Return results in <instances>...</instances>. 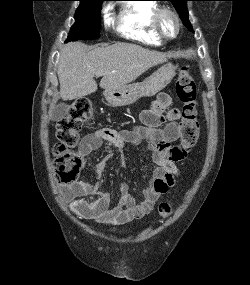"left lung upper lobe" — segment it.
<instances>
[{"mask_svg":"<svg viewBox=\"0 0 250 285\" xmlns=\"http://www.w3.org/2000/svg\"><path fill=\"white\" fill-rule=\"evenodd\" d=\"M171 1L175 9L180 15L181 20L183 21L184 25L190 30H192L191 23L189 21V14L187 11V1L189 0H168Z\"/></svg>","mask_w":250,"mask_h":285,"instance_id":"obj_1","label":"left lung upper lobe"}]
</instances>
